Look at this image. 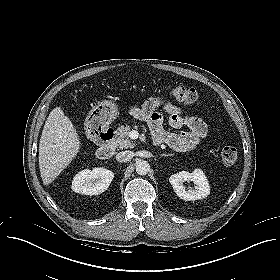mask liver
Returning a JSON list of instances; mask_svg holds the SVG:
<instances>
[{"label": "liver", "mask_w": 280, "mask_h": 280, "mask_svg": "<svg viewBox=\"0 0 280 280\" xmlns=\"http://www.w3.org/2000/svg\"><path fill=\"white\" fill-rule=\"evenodd\" d=\"M80 149V139L71 120L60 107L47 117L39 143V169L44 185L52 183Z\"/></svg>", "instance_id": "liver-1"}]
</instances>
